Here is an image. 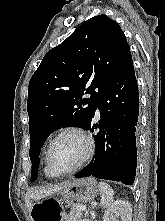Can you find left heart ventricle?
<instances>
[{
	"label": "left heart ventricle",
	"mask_w": 165,
	"mask_h": 221,
	"mask_svg": "<svg viewBox=\"0 0 165 221\" xmlns=\"http://www.w3.org/2000/svg\"><path fill=\"white\" fill-rule=\"evenodd\" d=\"M84 152L82 138L76 134H66L53 143L49 153L50 163L54 170L65 171L75 166Z\"/></svg>",
	"instance_id": "1"
}]
</instances>
